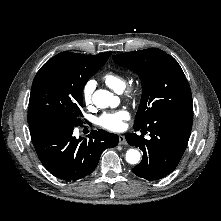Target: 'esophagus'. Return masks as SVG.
Listing matches in <instances>:
<instances>
[{"instance_id":"34e87169","label":"esophagus","mask_w":221,"mask_h":221,"mask_svg":"<svg viewBox=\"0 0 221 221\" xmlns=\"http://www.w3.org/2000/svg\"><path fill=\"white\" fill-rule=\"evenodd\" d=\"M119 144L120 145H125L127 144L126 138L124 135H119Z\"/></svg>"}]
</instances>
